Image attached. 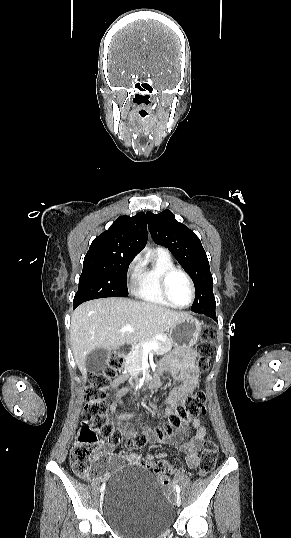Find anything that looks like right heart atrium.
I'll return each instance as SVG.
<instances>
[{"label":"right heart atrium","instance_id":"right-heart-atrium-1","mask_svg":"<svg viewBox=\"0 0 291 538\" xmlns=\"http://www.w3.org/2000/svg\"><path fill=\"white\" fill-rule=\"evenodd\" d=\"M142 266V259L139 255H136L127 266V275L130 280L131 286H133L138 278L139 271Z\"/></svg>","mask_w":291,"mask_h":538}]
</instances>
